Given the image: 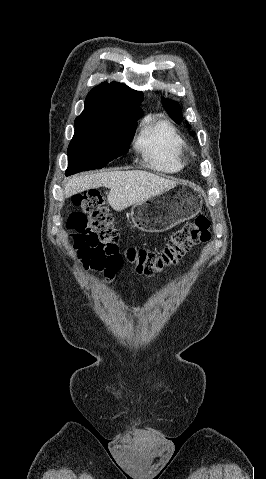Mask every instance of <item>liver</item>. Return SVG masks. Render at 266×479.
Segmentation results:
<instances>
[{
    "label": "liver",
    "mask_w": 266,
    "mask_h": 479,
    "mask_svg": "<svg viewBox=\"0 0 266 479\" xmlns=\"http://www.w3.org/2000/svg\"><path fill=\"white\" fill-rule=\"evenodd\" d=\"M177 184V181L142 170L111 171L68 179L64 195L68 198L89 189L106 187L110 189L108 203L114 210L122 211Z\"/></svg>",
    "instance_id": "liver-1"
}]
</instances>
